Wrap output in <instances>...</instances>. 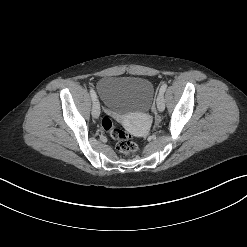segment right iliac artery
I'll return each mask as SVG.
<instances>
[{
    "mask_svg": "<svg viewBox=\"0 0 247 247\" xmlns=\"http://www.w3.org/2000/svg\"><path fill=\"white\" fill-rule=\"evenodd\" d=\"M90 95L92 97V100L95 101L97 96H96V93H95V91L93 89H90Z\"/></svg>",
    "mask_w": 247,
    "mask_h": 247,
    "instance_id": "right-iliac-artery-1",
    "label": "right iliac artery"
}]
</instances>
